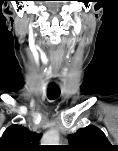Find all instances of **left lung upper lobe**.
Returning <instances> with one entry per match:
<instances>
[{
    "instance_id": "obj_1",
    "label": "left lung upper lobe",
    "mask_w": 118,
    "mask_h": 151,
    "mask_svg": "<svg viewBox=\"0 0 118 151\" xmlns=\"http://www.w3.org/2000/svg\"><path fill=\"white\" fill-rule=\"evenodd\" d=\"M68 140V147L72 151H104L111 148L104 133L92 125L80 128L75 134L69 135Z\"/></svg>"
}]
</instances>
